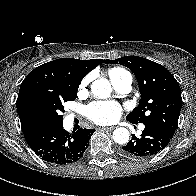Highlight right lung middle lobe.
Wrapping results in <instances>:
<instances>
[{
    "mask_svg": "<svg viewBox=\"0 0 196 196\" xmlns=\"http://www.w3.org/2000/svg\"><path fill=\"white\" fill-rule=\"evenodd\" d=\"M78 87L38 90L28 99V110L44 129L62 124L63 103L76 99Z\"/></svg>",
    "mask_w": 196,
    "mask_h": 196,
    "instance_id": "right-lung-middle-lobe-1",
    "label": "right lung middle lobe"
}]
</instances>
